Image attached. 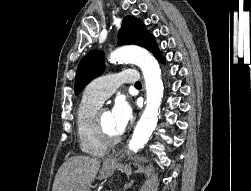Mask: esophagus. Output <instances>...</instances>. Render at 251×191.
<instances>
[{
	"label": "esophagus",
	"instance_id": "obj_1",
	"mask_svg": "<svg viewBox=\"0 0 251 191\" xmlns=\"http://www.w3.org/2000/svg\"><path fill=\"white\" fill-rule=\"evenodd\" d=\"M115 162H116V159H109V160L107 161V164L112 165V164H114Z\"/></svg>",
	"mask_w": 251,
	"mask_h": 191
}]
</instances>
